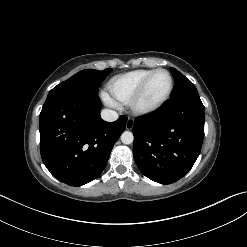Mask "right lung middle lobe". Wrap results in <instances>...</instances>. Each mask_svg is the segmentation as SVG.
<instances>
[{"label": "right lung middle lobe", "mask_w": 247, "mask_h": 247, "mask_svg": "<svg viewBox=\"0 0 247 247\" xmlns=\"http://www.w3.org/2000/svg\"><path fill=\"white\" fill-rule=\"evenodd\" d=\"M111 71V68L103 71L94 69L82 70L54 87L49 92L48 97L55 94L64 93L95 96L98 94V88L101 82Z\"/></svg>", "instance_id": "right-lung-middle-lobe-1"}]
</instances>
